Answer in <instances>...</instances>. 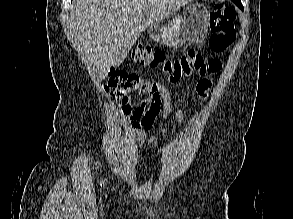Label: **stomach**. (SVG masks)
I'll return each instance as SVG.
<instances>
[{
  "mask_svg": "<svg viewBox=\"0 0 293 219\" xmlns=\"http://www.w3.org/2000/svg\"><path fill=\"white\" fill-rule=\"evenodd\" d=\"M209 23L207 8L195 3L186 7L183 18L174 13L150 25L148 35L155 42L178 49L187 41L203 42L208 34Z\"/></svg>",
  "mask_w": 293,
  "mask_h": 219,
  "instance_id": "0dacf381",
  "label": "stomach"
}]
</instances>
